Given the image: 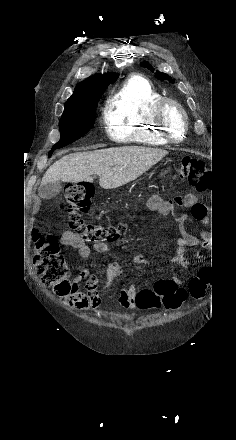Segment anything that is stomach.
Instances as JSON below:
<instances>
[{
    "mask_svg": "<svg viewBox=\"0 0 236 440\" xmlns=\"http://www.w3.org/2000/svg\"><path fill=\"white\" fill-rule=\"evenodd\" d=\"M169 171H170L169 168H164V169H162V170L160 171V173H159V177H163V176H165Z\"/></svg>",
    "mask_w": 236,
    "mask_h": 440,
    "instance_id": "0dacf381",
    "label": "stomach"
}]
</instances>
